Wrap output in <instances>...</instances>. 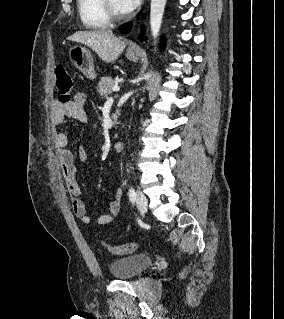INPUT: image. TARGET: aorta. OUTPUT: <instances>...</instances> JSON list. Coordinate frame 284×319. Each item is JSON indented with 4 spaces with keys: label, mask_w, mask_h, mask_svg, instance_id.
<instances>
[{
    "label": "aorta",
    "mask_w": 284,
    "mask_h": 319,
    "mask_svg": "<svg viewBox=\"0 0 284 319\" xmlns=\"http://www.w3.org/2000/svg\"><path fill=\"white\" fill-rule=\"evenodd\" d=\"M167 0H151L150 7V29L153 38V44H156L157 38L160 33L162 19L164 15L165 5ZM152 73L149 72L145 75V80L149 81ZM141 101H143L141 99ZM141 107V106H140Z\"/></svg>",
    "instance_id": "762f6f07"
}]
</instances>
